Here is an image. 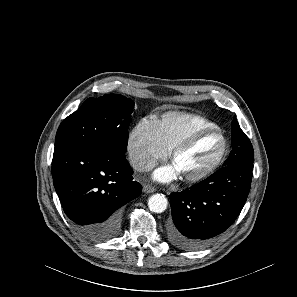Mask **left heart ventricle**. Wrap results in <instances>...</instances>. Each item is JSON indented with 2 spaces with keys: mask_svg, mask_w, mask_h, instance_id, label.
Returning <instances> with one entry per match:
<instances>
[{
  "mask_svg": "<svg viewBox=\"0 0 297 297\" xmlns=\"http://www.w3.org/2000/svg\"><path fill=\"white\" fill-rule=\"evenodd\" d=\"M222 141L216 134L198 138L188 149L179 153L172 164L182 177L196 175L208 168L219 156Z\"/></svg>",
  "mask_w": 297,
  "mask_h": 297,
  "instance_id": "obj_1",
  "label": "left heart ventricle"
}]
</instances>
